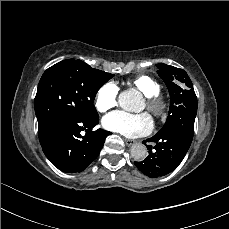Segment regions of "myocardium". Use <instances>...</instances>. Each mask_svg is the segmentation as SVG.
I'll use <instances>...</instances> for the list:
<instances>
[{"mask_svg": "<svg viewBox=\"0 0 229 229\" xmlns=\"http://www.w3.org/2000/svg\"><path fill=\"white\" fill-rule=\"evenodd\" d=\"M147 108L156 117L164 118L167 116L169 105L160 95L147 96Z\"/></svg>", "mask_w": 229, "mask_h": 229, "instance_id": "1", "label": "myocardium"}]
</instances>
